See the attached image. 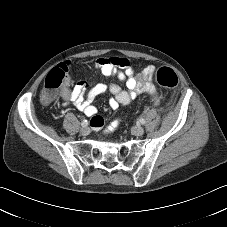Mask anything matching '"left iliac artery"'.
<instances>
[{
  "mask_svg": "<svg viewBox=\"0 0 227 227\" xmlns=\"http://www.w3.org/2000/svg\"><path fill=\"white\" fill-rule=\"evenodd\" d=\"M139 122H140L141 124H145V120H144V119H139Z\"/></svg>",
  "mask_w": 227,
  "mask_h": 227,
  "instance_id": "obj_1",
  "label": "left iliac artery"
}]
</instances>
